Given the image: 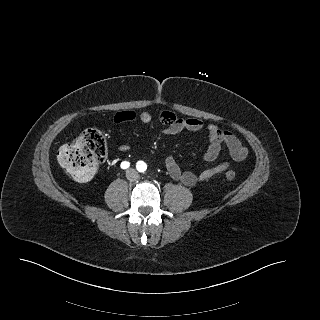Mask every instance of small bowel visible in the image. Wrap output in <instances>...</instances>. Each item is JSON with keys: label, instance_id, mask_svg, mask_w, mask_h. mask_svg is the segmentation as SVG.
<instances>
[{"label": "small bowel", "instance_id": "small-bowel-1", "mask_svg": "<svg viewBox=\"0 0 320 320\" xmlns=\"http://www.w3.org/2000/svg\"><path fill=\"white\" fill-rule=\"evenodd\" d=\"M138 119L142 123H149L151 115L148 112H141L138 115L131 110L119 111L114 115V122L123 124ZM159 119L164 125L161 130L163 135H175L182 131H200L206 129L209 136V146L204 153L203 159L206 162L215 161L222 147L225 146L231 158L234 161H242L247 156V149L242 142L230 131L223 130L215 124L204 125V123L197 118H183L172 111H162ZM120 151H126L127 145H120ZM164 165L169 175L183 183L186 186H194L197 183L205 182L212 177L221 174L229 169L230 162L225 161L215 166L206 168L199 173L191 170H183L172 155L166 156Z\"/></svg>", "mask_w": 320, "mask_h": 320}]
</instances>
